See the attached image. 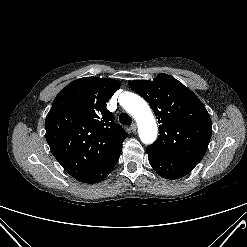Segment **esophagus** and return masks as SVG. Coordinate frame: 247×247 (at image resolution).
Listing matches in <instances>:
<instances>
[{
  "label": "esophagus",
  "mask_w": 247,
  "mask_h": 247,
  "mask_svg": "<svg viewBox=\"0 0 247 247\" xmlns=\"http://www.w3.org/2000/svg\"><path fill=\"white\" fill-rule=\"evenodd\" d=\"M130 129L132 132H136V129H137L136 123L131 124Z\"/></svg>",
  "instance_id": "1"
}]
</instances>
